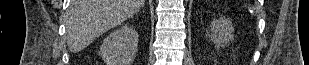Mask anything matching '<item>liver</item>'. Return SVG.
I'll use <instances>...</instances> for the list:
<instances>
[{
  "label": "liver",
  "instance_id": "liver-1",
  "mask_svg": "<svg viewBox=\"0 0 309 65\" xmlns=\"http://www.w3.org/2000/svg\"><path fill=\"white\" fill-rule=\"evenodd\" d=\"M145 0H72L66 13L69 50L79 52L109 29L132 17Z\"/></svg>",
  "mask_w": 309,
  "mask_h": 65
}]
</instances>
